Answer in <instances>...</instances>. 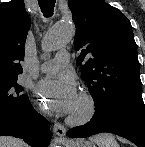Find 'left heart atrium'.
Masks as SVG:
<instances>
[{
  "mask_svg": "<svg viewBox=\"0 0 145 147\" xmlns=\"http://www.w3.org/2000/svg\"><path fill=\"white\" fill-rule=\"evenodd\" d=\"M37 90L47 107L61 114L71 113L78 99L76 84L70 75L43 79Z\"/></svg>",
  "mask_w": 145,
  "mask_h": 147,
  "instance_id": "left-heart-atrium-1",
  "label": "left heart atrium"
}]
</instances>
